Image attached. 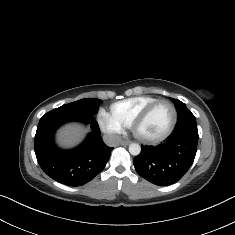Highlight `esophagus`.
<instances>
[{
    "instance_id": "1",
    "label": "esophagus",
    "mask_w": 235,
    "mask_h": 235,
    "mask_svg": "<svg viewBox=\"0 0 235 235\" xmlns=\"http://www.w3.org/2000/svg\"><path fill=\"white\" fill-rule=\"evenodd\" d=\"M130 143H131V141L122 140V141L120 142V145H122V146H127V145H129Z\"/></svg>"
}]
</instances>
